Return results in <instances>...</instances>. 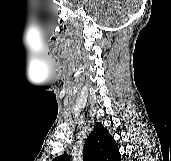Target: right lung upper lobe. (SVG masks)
I'll use <instances>...</instances> for the list:
<instances>
[{
  "label": "right lung upper lobe",
  "instance_id": "cb5924a9",
  "mask_svg": "<svg viewBox=\"0 0 171 161\" xmlns=\"http://www.w3.org/2000/svg\"><path fill=\"white\" fill-rule=\"evenodd\" d=\"M84 161H121V155L117 143L110 133L100 124L95 123L93 131L86 139L84 146ZM65 154L53 161H69Z\"/></svg>",
  "mask_w": 171,
  "mask_h": 161
}]
</instances>
